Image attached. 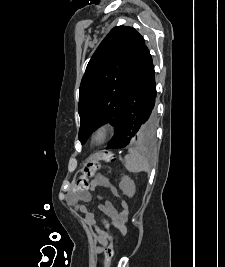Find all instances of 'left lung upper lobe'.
Segmentation results:
<instances>
[{"label":"left lung upper lobe","instance_id":"left-lung-upper-lobe-1","mask_svg":"<svg viewBox=\"0 0 225 267\" xmlns=\"http://www.w3.org/2000/svg\"><path fill=\"white\" fill-rule=\"evenodd\" d=\"M145 40L132 27L117 26L100 43L91 57L80 84L79 140L84 143L99 126L110 122L118 130L133 73ZM141 124L134 142L150 141Z\"/></svg>","mask_w":225,"mask_h":267}]
</instances>
